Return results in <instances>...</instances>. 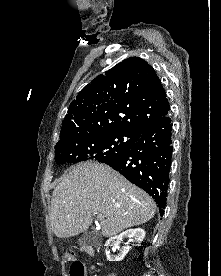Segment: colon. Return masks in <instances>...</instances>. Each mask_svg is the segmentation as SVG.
<instances>
[{
    "instance_id": "1",
    "label": "colon",
    "mask_w": 221,
    "mask_h": 276,
    "mask_svg": "<svg viewBox=\"0 0 221 276\" xmlns=\"http://www.w3.org/2000/svg\"><path fill=\"white\" fill-rule=\"evenodd\" d=\"M63 259L66 262H71V276H85V268L82 263L76 260L75 253L71 250L64 252Z\"/></svg>"
}]
</instances>
